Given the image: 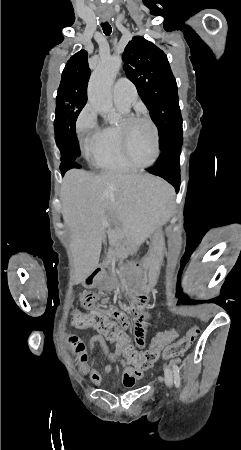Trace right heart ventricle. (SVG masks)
<instances>
[{"mask_svg":"<svg viewBox=\"0 0 241 450\" xmlns=\"http://www.w3.org/2000/svg\"><path fill=\"white\" fill-rule=\"evenodd\" d=\"M116 103L117 108L123 112L127 113L129 107L122 103ZM85 116H93L87 113ZM123 128L122 120L115 125L111 126H98L96 128V147L95 153L93 155H86V157L91 161V163L97 168H130L128 165L127 158L124 157L122 149H119V143H117L116 138L119 136V130ZM90 130H85L81 133L83 139L88 138ZM82 147H83V142ZM84 149V147H83Z\"/></svg>","mask_w":241,"mask_h":450,"instance_id":"1","label":"right heart ventricle"}]
</instances>
